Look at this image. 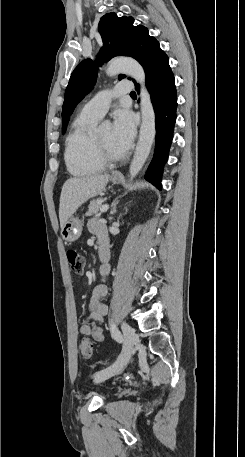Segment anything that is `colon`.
I'll list each match as a JSON object with an SVG mask.
<instances>
[{
  "label": "colon",
  "mask_w": 245,
  "mask_h": 457,
  "mask_svg": "<svg viewBox=\"0 0 245 457\" xmlns=\"http://www.w3.org/2000/svg\"><path fill=\"white\" fill-rule=\"evenodd\" d=\"M67 260L71 267V270L75 274H81L84 269L85 260L84 257L76 250H68L67 253ZM79 352L84 359H90L93 355V344L90 339L84 338L82 339L79 345Z\"/></svg>",
  "instance_id": "obj_1"
}]
</instances>
